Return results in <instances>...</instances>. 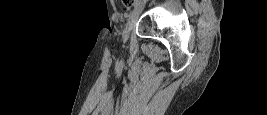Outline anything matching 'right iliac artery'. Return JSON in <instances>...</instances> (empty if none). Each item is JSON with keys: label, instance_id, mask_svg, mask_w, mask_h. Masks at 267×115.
<instances>
[{"label": "right iliac artery", "instance_id": "right-iliac-artery-1", "mask_svg": "<svg viewBox=\"0 0 267 115\" xmlns=\"http://www.w3.org/2000/svg\"><path fill=\"white\" fill-rule=\"evenodd\" d=\"M139 3H140L139 1H136L135 2V7H137L139 5Z\"/></svg>", "mask_w": 267, "mask_h": 115}]
</instances>
